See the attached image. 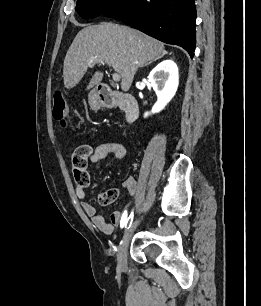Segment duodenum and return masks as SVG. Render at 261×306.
<instances>
[{"instance_id":"410a0bca","label":"duodenum","mask_w":261,"mask_h":306,"mask_svg":"<svg viewBox=\"0 0 261 306\" xmlns=\"http://www.w3.org/2000/svg\"><path fill=\"white\" fill-rule=\"evenodd\" d=\"M96 99L103 107H119L124 112L128 123H133L138 118V102L130 94L115 92L109 86L101 84L96 89Z\"/></svg>"}]
</instances>
